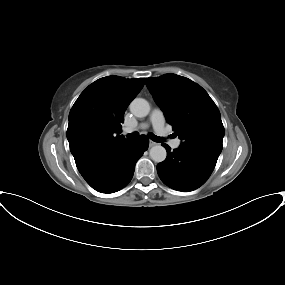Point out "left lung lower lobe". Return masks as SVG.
<instances>
[{
	"label": "left lung lower lobe",
	"instance_id": "obj_1",
	"mask_svg": "<svg viewBox=\"0 0 285 285\" xmlns=\"http://www.w3.org/2000/svg\"><path fill=\"white\" fill-rule=\"evenodd\" d=\"M167 158L157 165L160 179L175 190L188 192L199 188L211 175L218 156L180 145L174 151L163 144Z\"/></svg>",
	"mask_w": 285,
	"mask_h": 285
}]
</instances>
